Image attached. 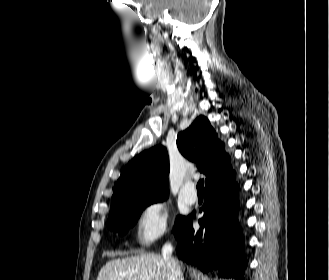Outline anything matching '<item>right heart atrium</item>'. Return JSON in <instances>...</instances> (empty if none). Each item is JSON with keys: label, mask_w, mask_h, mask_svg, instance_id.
Listing matches in <instances>:
<instances>
[{"label": "right heart atrium", "mask_w": 329, "mask_h": 280, "mask_svg": "<svg viewBox=\"0 0 329 280\" xmlns=\"http://www.w3.org/2000/svg\"><path fill=\"white\" fill-rule=\"evenodd\" d=\"M170 212L167 204L162 200H154L145 204L137 219V238L144 245L149 246L169 230Z\"/></svg>", "instance_id": "obj_1"}]
</instances>
